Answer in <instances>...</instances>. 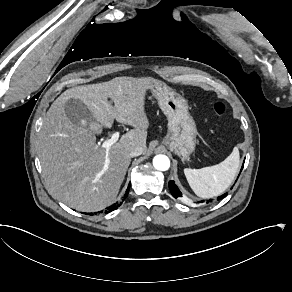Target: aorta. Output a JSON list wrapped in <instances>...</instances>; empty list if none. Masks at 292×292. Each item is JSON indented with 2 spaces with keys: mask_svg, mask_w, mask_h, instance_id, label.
<instances>
[{
  "mask_svg": "<svg viewBox=\"0 0 292 292\" xmlns=\"http://www.w3.org/2000/svg\"><path fill=\"white\" fill-rule=\"evenodd\" d=\"M153 166L159 171H166L170 167V160L165 155H157L153 159Z\"/></svg>",
  "mask_w": 292,
  "mask_h": 292,
  "instance_id": "762f6f07",
  "label": "aorta"
}]
</instances>
